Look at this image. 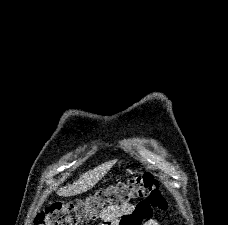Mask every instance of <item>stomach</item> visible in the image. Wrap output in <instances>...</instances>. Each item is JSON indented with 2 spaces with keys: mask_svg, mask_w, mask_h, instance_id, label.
<instances>
[{
  "mask_svg": "<svg viewBox=\"0 0 228 225\" xmlns=\"http://www.w3.org/2000/svg\"><path fill=\"white\" fill-rule=\"evenodd\" d=\"M127 173H129V175H134L132 169H126Z\"/></svg>",
  "mask_w": 228,
  "mask_h": 225,
  "instance_id": "stomach-1",
  "label": "stomach"
}]
</instances>
